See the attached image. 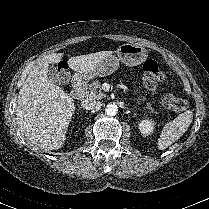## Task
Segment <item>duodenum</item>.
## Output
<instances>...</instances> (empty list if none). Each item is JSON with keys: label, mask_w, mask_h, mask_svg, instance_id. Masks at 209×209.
<instances>
[{"label": "duodenum", "mask_w": 209, "mask_h": 209, "mask_svg": "<svg viewBox=\"0 0 209 209\" xmlns=\"http://www.w3.org/2000/svg\"><path fill=\"white\" fill-rule=\"evenodd\" d=\"M85 87H86L85 82L81 80L74 81L71 89V96L76 99L80 98L84 93Z\"/></svg>", "instance_id": "410a0bca"}]
</instances>
